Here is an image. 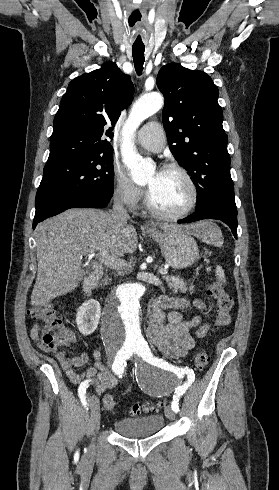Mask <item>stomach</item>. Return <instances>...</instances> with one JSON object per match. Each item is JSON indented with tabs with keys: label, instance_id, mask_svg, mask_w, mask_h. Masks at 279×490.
Masks as SVG:
<instances>
[{
	"label": "stomach",
	"instance_id": "1",
	"mask_svg": "<svg viewBox=\"0 0 279 490\" xmlns=\"http://www.w3.org/2000/svg\"><path fill=\"white\" fill-rule=\"evenodd\" d=\"M150 238L157 242L166 264L173 270L190 268L200 258L198 246L190 234L182 230H156L148 232Z\"/></svg>",
	"mask_w": 279,
	"mask_h": 490
}]
</instances>
